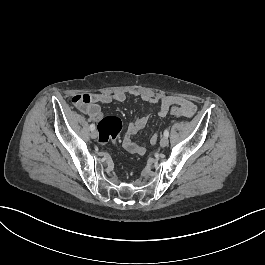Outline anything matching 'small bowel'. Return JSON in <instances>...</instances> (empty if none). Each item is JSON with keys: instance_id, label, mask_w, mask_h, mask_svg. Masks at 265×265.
<instances>
[{"instance_id": "obj_1", "label": "small bowel", "mask_w": 265, "mask_h": 265, "mask_svg": "<svg viewBox=\"0 0 265 265\" xmlns=\"http://www.w3.org/2000/svg\"><path fill=\"white\" fill-rule=\"evenodd\" d=\"M91 99V102L83 106L81 110L91 120L98 121L102 116L101 104L123 103L126 100V94L123 91H116L114 93H95L91 96ZM141 99L148 104H158L157 114L161 117L168 114L165 105L167 101L171 99L178 101L179 105L182 106L185 111L186 118L191 117L197 110V106L194 102L180 96H154L148 93H143L141 95ZM148 121L149 117L144 116L129 123L122 141L123 147L129 153L136 155H144L146 153V148L143 145L134 142L132 138L148 124ZM157 140V133H153L150 136V143L155 145Z\"/></svg>"}]
</instances>
